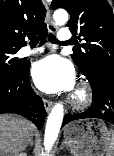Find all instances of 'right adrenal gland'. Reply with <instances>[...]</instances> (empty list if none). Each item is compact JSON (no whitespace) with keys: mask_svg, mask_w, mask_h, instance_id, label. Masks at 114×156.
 <instances>
[{"mask_svg":"<svg viewBox=\"0 0 114 156\" xmlns=\"http://www.w3.org/2000/svg\"><path fill=\"white\" fill-rule=\"evenodd\" d=\"M29 145H30V146H33V138H31V140L29 141V143L25 145L24 149H25L26 147H28Z\"/></svg>","mask_w":114,"mask_h":156,"instance_id":"2a0ac1e0","label":"right adrenal gland"}]
</instances>
